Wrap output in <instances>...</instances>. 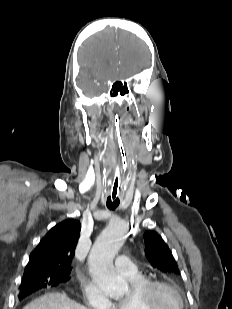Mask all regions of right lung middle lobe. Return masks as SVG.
<instances>
[{
  "label": "right lung middle lobe",
  "mask_w": 232,
  "mask_h": 309,
  "mask_svg": "<svg viewBox=\"0 0 232 309\" xmlns=\"http://www.w3.org/2000/svg\"><path fill=\"white\" fill-rule=\"evenodd\" d=\"M69 280V274H63L53 271H37L29 274H24L20 291L24 287L33 286L35 289L45 288L49 285H58Z\"/></svg>",
  "instance_id": "dd1d6c3e"
}]
</instances>
